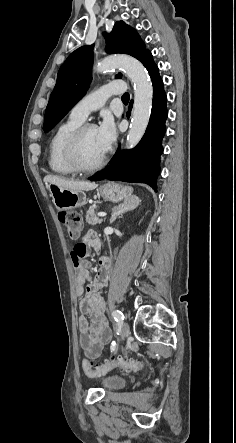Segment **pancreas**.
<instances>
[{
    "label": "pancreas",
    "instance_id": "1",
    "mask_svg": "<svg viewBox=\"0 0 236 443\" xmlns=\"http://www.w3.org/2000/svg\"><path fill=\"white\" fill-rule=\"evenodd\" d=\"M86 222L90 225H97L102 223V219L98 218L95 214V207L91 206L86 213Z\"/></svg>",
    "mask_w": 236,
    "mask_h": 443
}]
</instances>
